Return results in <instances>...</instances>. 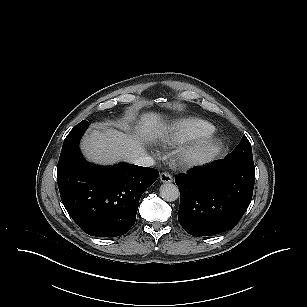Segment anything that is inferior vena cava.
I'll return each instance as SVG.
<instances>
[{"mask_svg": "<svg viewBox=\"0 0 307 307\" xmlns=\"http://www.w3.org/2000/svg\"><path fill=\"white\" fill-rule=\"evenodd\" d=\"M131 162L135 165L144 166V167H151L155 163L154 159L147 154L140 155V156L134 158Z\"/></svg>", "mask_w": 307, "mask_h": 307, "instance_id": "1", "label": "inferior vena cava"}]
</instances>
